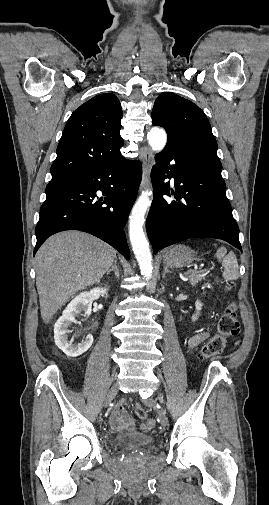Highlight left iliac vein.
Wrapping results in <instances>:
<instances>
[{
    "mask_svg": "<svg viewBox=\"0 0 269 505\" xmlns=\"http://www.w3.org/2000/svg\"><path fill=\"white\" fill-rule=\"evenodd\" d=\"M144 407L146 409H151L153 411L156 410V408H157L156 405H155V402L151 398H149L148 400H146L144 402ZM158 416H159V421H160L161 426L164 427V428L167 427V425H168V417L166 415V411L163 410V409L159 410Z\"/></svg>",
    "mask_w": 269,
    "mask_h": 505,
    "instance_id": "left-iliac-vein-1",
    "label": "left iliac vein"
}]
</instances>
